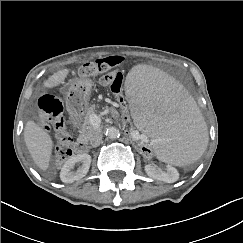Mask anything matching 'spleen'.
<instances>
[{"instance_id":"1","label":"spleen","mask_w":243,"mask_h":243,"mask_svg":"<svg viewBox=\"0 0 243 243\" xmlns=\"http://www.w3.org/2000/svg\"><path fill=\"white\" fill-rule=\"evenodd\" d=\"M125 90L160 159L179 165L205 150L207 127L193 92L183 81L146 66L130 74Z\"/></svg>"}]
</instances>
